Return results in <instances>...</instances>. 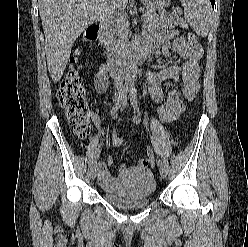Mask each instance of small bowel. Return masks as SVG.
Listing matches in <instances>:
<instances>
[{
    "label": "small bowel",
    "mask_w": 248,
    "mask_h": 247,
    "mask_svg": "<svg viewBox=\"0 0 248 247\" xmlns=\"http://www.w3.org/2000/svg\"><path fill=\"white\" fill-rule=\"evenodd\" d=\"M174 36L171 30H163L152 33L146 38L141 47L147 50L151 58L158 53L160 49L163 56H170V39ZM173 51L184 59L182 66L168 65L163 68H158L151 61L148 72V91L152 100L156 104L163 101V84L167 81L182 83L181 91L172 89L167 94L166 105L169 112V122L175 120L185 108V103L191 101L199 91V61L203 55L201 45L196 42H189L184 37H177L172 44ZM109 84L108 70L106 65H102L94 78L95 89L99 94H104ZM93 122L100 128V119L97 115H93ZM112 142L115 146H120L123 143V130L116 129L112 133ZM113 164L111 156L107 159V164L100 162L98 165L99 181L101 185L108 189H117L119 178L112 176L107 165ZM149 165L147 157L140 158L135 166H130L125 163L119 167L120 175L130 168L139 167L145 168Z\"/></svg>",
    "instance_id": "c3829d8e"
}]
</instances>
